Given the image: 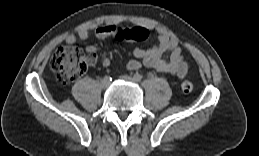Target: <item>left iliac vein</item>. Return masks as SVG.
Wrapping results in <instances>:
<instances>
[{
	"instance_id": "left-iliac-vein-1",
	"label": "left iliac vein",
	"mask_w": 259,
	"mask_h": 156,
	"mask_svg": "<svg viewBox=\"0 0 259 156\" xmlns=\"http://www.w3.org/2000/svg\"><path fill=\"white\" fill-rule=\"evenodd\" d=\"M121 80L123 81H126V82H131V83H135V79L130 77V76H127V75H123L120 77Z\"/></svg>"
}]
</instances>
